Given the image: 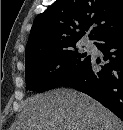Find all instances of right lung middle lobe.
Masks as SVG:
<instances>
[{"label": "right lung middle lobe", "mask_w": 123, "mask_h": 130, "mask_svg": "<svg viewBox=\"0 0 123 130\" xmlns=\"http://www.w3.org/2000/svg\"><path fill=\"white\" fill-rule=\"evenodd\" d=\"M74 47L26 59V90L41 93L61 86L75 74L89 56L77 53Z\"/></svg>", "instance_id": "right-lung-middle-lobe-1"}]
</instances>
